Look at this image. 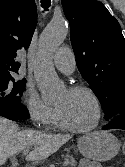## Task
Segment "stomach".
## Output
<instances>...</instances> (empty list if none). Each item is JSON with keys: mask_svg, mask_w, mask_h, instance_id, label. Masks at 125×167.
Returning a JSON list of instances; mask_svg holds the SVG:
<instances>
[{"mask_svg": "<svg viewBox=\"0 0 125 167\" xmlns=\"http://www.w3.org/2000/svg\"><path fill=\"white\" fill-rule=\"evenodd\" d=\"M78 149L85 158L102 162L116 156L120 143L111 133L96 131L81 137L78 140Z\"/></svg>", "mask_w": 125, "mask_h": 167, "instance_id": "obj_1", "label": "stomach"}]
</instances>
